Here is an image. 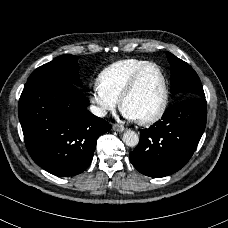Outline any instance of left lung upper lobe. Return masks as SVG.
Instances as JSON below:
<instances>
[{"label": "left lung upper lobe", "instance_id": "5c2ea615", "mask_svg": "<svg viewBox=\"0 0 228 228\" xmlns=\"http://www.w3.org/2000/svg\"><path fill=\"white\" fill-rule=\"evenodd\" d=\"M167 58L171 65V93H185L186 98H205L203 86L194 69L169 52Z\"/></svg>", "mask_w": 228, "mask_h": 228}]
</instances>
